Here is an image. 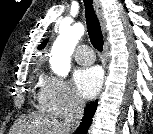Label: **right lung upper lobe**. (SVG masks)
<instances>
[{"label":"right lung upper lobe","instance_id":"obj_1","mask_svg":"<svg viewBox=\"0 0 153 134\" xmlns=\"http://www.w3.org/2000/svg\"><path fill=\"white\" fill-rule=\"evenodd\" d=\"M47 42H48V40H45L42 44H40V45L38 46V49H39V50H40V49H43V48L46 46Z\"/></svg>","mask_w":153,"mask_h":134}]
</instances>
